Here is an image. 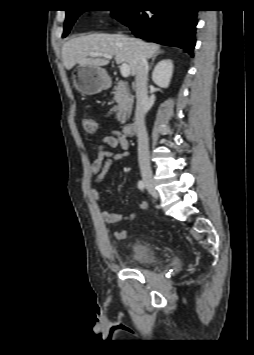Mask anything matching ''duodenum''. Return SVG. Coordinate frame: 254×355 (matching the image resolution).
Instances as JSON below:
<instances>
[{
	"mask_svg": "<svg viewBox=\"0 0 254 355\" xmlns=\"http://www.w3.org/2000/svg\"><path fill=\"white\" fill-rule=\"evenodd\" d=\"M123 131L126 135L131 136L135 131V126L133 123H126L123 127Z\"/></svg>",
	"mask_w": 254,
	"mask_h": 355,
	"instance_id": "duodenum-1",
	"label": "duodenum"
}]
</instances>
